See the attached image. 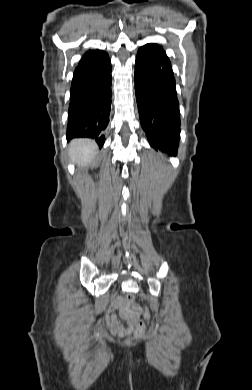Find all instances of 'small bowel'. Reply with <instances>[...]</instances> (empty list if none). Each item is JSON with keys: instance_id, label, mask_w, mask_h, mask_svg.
I'll return each instance as SVG.
<instances>
[{"instance_id": "1", "label": "small bowel", "mask_w": 252, "mask_h": 390, "mask_svg": "<svg viewBox=\"0 0 252 390\" xmlns=\"http://www.w3.org/2000/svg\"><path fill=\"white\" fill-rule=\"evenodd\" d=\"M145 315L148 316V313L145 312ZM107 325L114 333H128L132 331L134 317L127 312L125 300L122 297H117L113 301L110 313L107 316Z\"/></svg>"}]
</instances>
